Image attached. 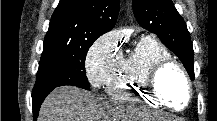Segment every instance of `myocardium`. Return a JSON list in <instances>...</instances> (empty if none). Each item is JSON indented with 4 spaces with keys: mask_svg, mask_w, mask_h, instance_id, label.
I'll return each mask as SVG.
<instances>
[{
    "mask_svg": "<svg viewBox=\"0 0 217 121\" xmlns=\"http://www.w3.org/2000/svg\"><path fill=\"white\" fill-rule=\"evenodd\" d=\"M169 68L176 69L181 74L186 84L188 97L185 105L181 108H175L171 104H169L163 98V96L159 91V87H158L159 77L164 71H166ZM146 87H147L148 94L156 103L173 112H182L186 110L188 106L191 104L193 99V87L188 73L179 62L173 60L172 58L161 60L151 67L146 78Z\"/></svg>",
    "mask_w": 217,
    "mask_h": 121,
    "instance_id": "myocardium-1",
    "label": "myocardium"
}]
</instances>
